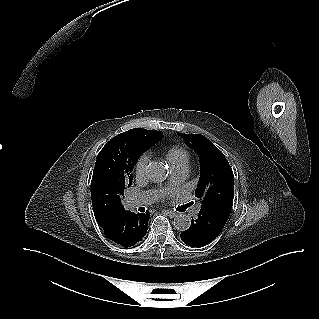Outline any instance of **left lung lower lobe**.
Returning <instances> with one entry per match:
<instances>
[{
  "label": "left lung lower lobe",
  "instance_id": "obj_1",
  "mask_svg": "<svg viewBox=\"0 0 319 319\" xmlns=\"http://www.w3.org/2000/svg\"><path fill=\"white\" fill-rule=\"evenodd\" d=\"M232 206L203 207L198 218L191 220V227L181 233L182 241L191 247H203L211 243L221 232L231 213Z\"/></svg>",
  "mask_w": 319,
  "mask_h": 319
}]
</instances>
